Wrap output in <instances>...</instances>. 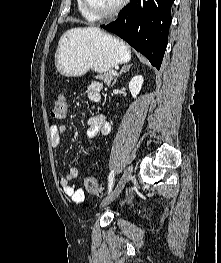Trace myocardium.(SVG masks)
<instances>
[{
	"label": "myocardium",
	"mask_w": 221,
	"mask_h": 263,
	"mask_svg": "<svg viewBox=\"0 0 221 263\" xmlns=\"http://www.w3.org/2000/svg\"><path fill=\"white\" fill-rule=\"evenodd\" d=\"M128 2L129 0H121L114 9L104 13H96L89 7L87 0H81L84 11L93 20L107 19L116 16L127 5Z\"/></svg>",
	"instance_id": "obj_1"
}]
</instances>
